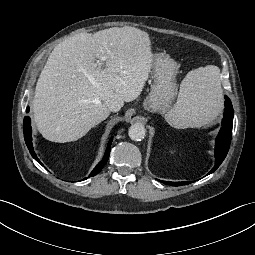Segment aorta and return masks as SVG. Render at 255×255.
I'll return each instance as SVG.
<instances>
[{"label": "aorta", "mask_w": 255, "mask_h": 255, "mask_svg": "<svg viewBox=\"0 0 255 255\" xmlns=\"http://www.w3.org/2000/svg\"><path fill=\"white\" fill-rule=\"evenodd\" d=\"M128 135L133 141H141L146 135V129L144 125L136 123L130 126Z\"/></svg>", "instance_id": "1"}]
</instances>
